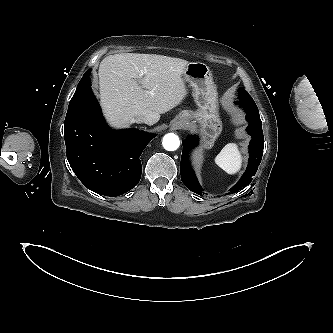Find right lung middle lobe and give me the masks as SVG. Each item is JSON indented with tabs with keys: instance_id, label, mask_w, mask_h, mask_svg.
I'll return each mask as SVG.
<instances>
[{
	"instance_id": "right-lung-middle-lobe-1",
	"label": "right lung middle lobe",
	"mask_w": 333,
	"mask_h": 333,
	"mask_svg": "<svg viewBox=\"0 0 333 333\" xmlns=\"http://www.w3.org/2000/svg\"><path fill=\"white\" fill-rule=\"evenodd\" d=\"M90 73H91V70L86 71V73L84 74V76L82 77V79L80 80V82L77 86L75 94L84 86L85 79L90 75ZM75 94H74V96H75ZM74 96L72 97L70 103L73 101Z\"/></svg>"
}]
</instances>
